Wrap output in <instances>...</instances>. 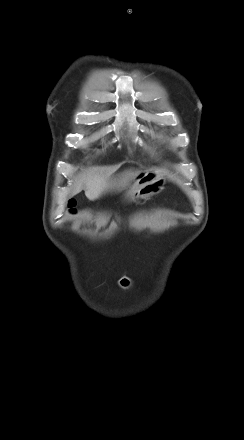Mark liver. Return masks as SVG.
I'll return each mask as SVG.
<instances>
[{
  "label": "liver",
  "instance_id": "1",
  "mask_svg": "<svg viewBox=\"0 0 244 440\" xmlns=\"http://www.w3.org/2000/svg\"><path fill=\"white\" fill-rule=\"evenodd\" d=\"M114 169H110L106 174L88 173L83 175L74 185L72 195H76L83 189L85 195L90 200L98 199L103 193L108 190L118 189L121 190L128 186L138 172L128 171L124 173L119 179H112L111 174Z\"/></svg>",
  "mask_w": 244,
  "mask_h": 440
}]
</instances>
